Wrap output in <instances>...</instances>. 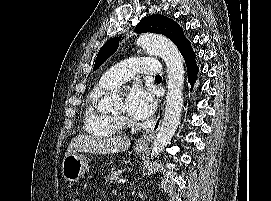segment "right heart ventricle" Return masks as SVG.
I'll use <instances>...</instances> for the list:
<instances>
[{
	"label": "right heart ventricle",
	"instance_id": "1",
	"mask_svg": "<svg viewBox=\"0 0 271 201\" xmlns=\"http://www.w3.org/2000/svg\"><path fill=\"white\" fill-rule=\"evenodd\" d=\"M107 90L103 86L97 87L87 97L84 126L89 134L96 137L118 135L123 129L122 121L102 110L99 105Z\"/></svg>",
	"mask_w": 271,
	"mask_h": 201
}]
</instances>
